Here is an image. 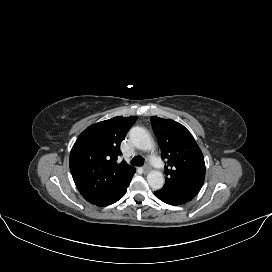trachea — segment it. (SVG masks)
I'll return each instance as SVG.
<instances>
[{"label":"trachea","instance_id":"3493384b","mask_svg":"<svg viewBox=\"0 0 272 272\" xmlns=\"http://www.w3.org/2000/svg\"><path fill=\"white\" fill-rule=\"evenodd\" d=\"M131 164L134 166H143L144 165V158L142 156H135L131 160Z\"/></svg>","mask_w":272,"mask_h":272}]
</instances>
